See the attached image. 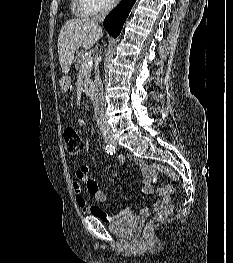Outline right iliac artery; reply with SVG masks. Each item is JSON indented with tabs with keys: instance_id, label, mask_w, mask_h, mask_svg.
<instances>
[{
	"instance_id": "1",
	"label": "right iliac artery",
	"mask_w": 233,
	"mask_h": 263,
	"mask_svg": "<svg viewBox=\"0 0 233 263\" xmlns=\"http://www.w3.org/2000/svg\"><path fill=\"white\" fill-rule=\"evenodd\" d=\"M105 150H106V152L108 153V154H110V155H112V154H114L115 152H116V149H115V147L113 146V145H107L106 147H105Z\"/></svg>"
}]
</instances>
